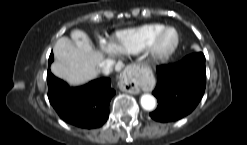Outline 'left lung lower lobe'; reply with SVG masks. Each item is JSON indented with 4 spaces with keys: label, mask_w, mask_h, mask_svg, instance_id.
Masks as SVG:
<instances>
[{
    "label": "left lung lower lobe",
    "mask_w": 247,
    "mask_h": 145,
    "mask_svg": "<svg viewBox=\"0 0 247 145\" xmlns=\"http://www.w3.org/2000/svg\"><path fill=\"white\" fill-rule=\"evenodd\" d=\"M154 96L159 105L150 116L160 122L175 121L190 114L201 100L206 86L205 56L193 53L177 66L157 67Z\"/></svg>",
    "instance_id": "left-lung-lower-lobe-1"
}]
</instances>
